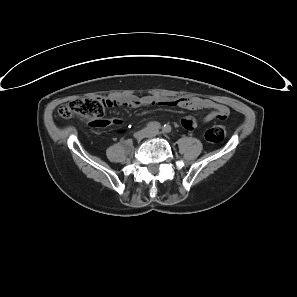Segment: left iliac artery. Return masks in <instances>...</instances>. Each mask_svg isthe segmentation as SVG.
<instances>
[{"label":"left iliac artery","mask_w":297,"mask_h":297,"mask_svg":"<svg viewBox=\"0 0 297 297\" xmlns=\"http://www.w3.org/2000/svg\"><path fill=\"white\" fill-rule=\"evenodd\" d=\"M170 131H171V127L169 125H164L163 132L164 133H169Z\"/></svg>","instance_id":"44dca946"}]
</instances>
